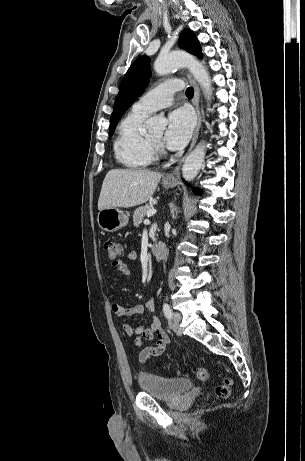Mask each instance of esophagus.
<instances>
[{
  "label": "esophagus",
  "instance_id": "obj_1",
  "mask_svg": "<svg viewBox=\"0 0 305 461\" xmlns=\"http://www.w3.org/2000/svg\"><path fill=\"white\" fill-rule=\"evenodd\" d=\"M187 77H188V80H189L190 84L192 85V87L194 89L193 104L195 106L196 114H197V125H196V128H195L194 134H193L192 142H191L190 147H189L188 152H187V154H188L193 149V147H194V145H195V143L197 141L199 130H200V127H201L202 119H201V111H200V107H199V87H198L195 79L193 78V76L190 73H187ZM187 154L179 161L178 165L175 167V169L172 172L165 175L164 181H175L176 180V176H177V174H178V172L180 170L181 164L185 160Z\"/></svg>",
  "mask_w": 305,
  "mask_h": 461
}]
</instances>
